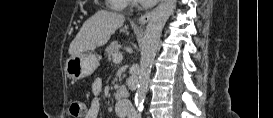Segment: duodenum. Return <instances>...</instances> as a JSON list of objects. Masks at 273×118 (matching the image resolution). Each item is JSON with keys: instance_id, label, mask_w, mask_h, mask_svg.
Instances as JSON below:
<instances>
[{"instance_id": "obj_1", "label": "duodenum", "mask_w": 273, "mask_h": 118, "mask_svg": "<svg viewBox=\"0 0 273 118\" xmlns=\"http://www.w3.org/2000/svg\"><path fill=\"white\" fill-rule=\"evenodd\" d=\"M115 96L118 100H123L129 96L128 89L124 86H119L115 91Z\"/></svg>"}]
</instances>
